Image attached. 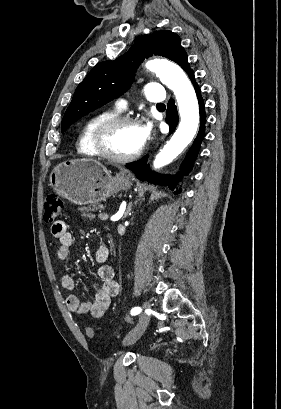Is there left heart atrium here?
Segmentation results:
<instances>
[{"label": "left heart atrium", "mask_w": 281, "mask_h": 409, "mask_svg": "<svg viewBox=\"0 0 281 409\" xmlns=\"http://www.w3.org/2000/svg\"><path fill=\"white\" fill-rule=\"evenodd\" d=\"M139 132H140V138L142 143H145L149 138L151 134V126L150 124H145L139 127Z\"/></svg>", "instance_id": "39dd6f15"}]
</instances>
